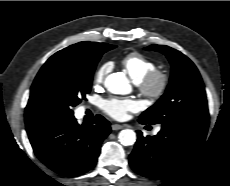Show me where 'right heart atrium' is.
<instances>
[{"label":"right heart atrium","instance_id":"obj_1","mask_svg":"<svg viewBox=\"0 0 230 186\" xmlns=\"http://www.w3.org/2000/svg\"><path fill=\"white\" fill-rule=\"evenodd\" d=\"M112 69V64L110 62L102 63L94 73V82L96 84H101L104 82L106 76Z\"/></svg>","mask_w":230,"mask_h":186}]
</instances>
